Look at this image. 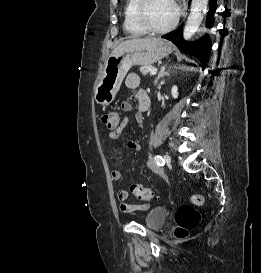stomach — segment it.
Returning a JSON list of instances; mask_svg holds the SVG:
<instances>
[{
    "label": "stomach",
    "mask_w": 261,
    "mask_h": 273,
    "mask_svg": "<svg viewBox=\"0 0 261 273\" xmlns=\"http://www.w3.org/2000/svg\"><path fill=\"white\" fill-rule=\"evenodd\" d=\"M170 53V45L155 37L132 39L120 43L105 61L103 76L95 87V101L103 106L110 104L132 66L151 65Z\"/></svg>",
    "instance_id": "1"
}]
</instances>
